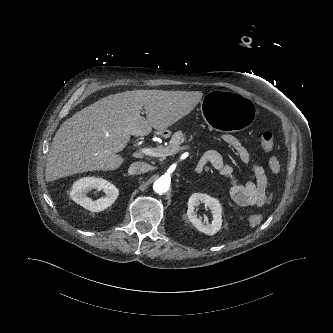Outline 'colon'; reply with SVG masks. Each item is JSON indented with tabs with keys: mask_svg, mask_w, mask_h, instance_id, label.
Instances as JSON below:
<instances>
[{
	"mask_svg": "<svg viewBox=\"0 0 333 333\" xmlns=\"http://www.w3.org/2000/svg\"><path fill=\"white\" fill-rule=\"evenodd\" d=\"M274 146V135L273 133L267 131L264 132L260 137V148L263 152L267 153L273 149ZM271 197L268 199V204L270 203ZM263 216L259 213L250 215L249 222L252 225H258L262 222Z\"/></svg>",
	"mask_w": 333,
	"mask_h": 333,
	"instance_id": "obj_1",
	"label": "colon"
}]
</instances>
